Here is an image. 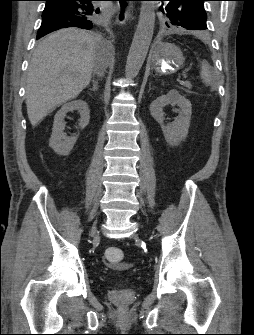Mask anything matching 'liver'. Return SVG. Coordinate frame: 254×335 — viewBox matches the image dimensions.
<instances>
[{"label":"liver","instance_id":"6515ba94","mask_svg":"<svg viewBox=\"0 0 254 335\" xmlns=\"http://www.w3.org/2000/svg\"><path fill=\"white\" fill-rule=\"evenodd\" d=\"M113 46L87 31L66 28L45 37L28 68L26 106L35 127L51 110L88 86L98 62L109 63Z\"/></svg>","mask_w":254,"mask_h":335}]
</instances>
